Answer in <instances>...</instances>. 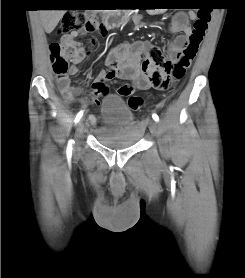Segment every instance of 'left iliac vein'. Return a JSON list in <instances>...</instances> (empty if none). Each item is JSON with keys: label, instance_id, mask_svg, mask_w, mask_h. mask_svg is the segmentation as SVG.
Here are the masks:
<instances>
[{"label": "left iliac vein", "instance_id": "obj_1", "mask_svg": "<svg viewBox=\"0 0 245 278\" xmlns=\"http://www.w3.org/2000/svg\"><path fill=\"white\" fill-rule=\"evenodd\" d=\"M149 128L153 135L156 136L158 134V128H157V124L155 121H150Z\"/></svg>", "mask_w": 245, "mask_h": 278}]
</instances>
